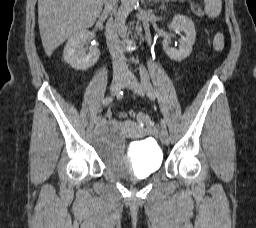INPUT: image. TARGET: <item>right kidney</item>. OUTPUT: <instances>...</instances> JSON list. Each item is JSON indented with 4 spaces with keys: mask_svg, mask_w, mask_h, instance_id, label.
Segmentation results:
<instances>
[{
    "mask_svg": "<svg viewBox=\"0 0 256 228\" xmlns=\"http://www.w3.org/2000/svg\"><path fill=\"white\" fill-rule=\"evenodd\" d=\"M89 37V31H80L68 39L64 48L63 58L65 62L76 70L89 69L100 57V51L97 48H90L88 53L83 49L84 42Z\"/></svg>",
    "mask_w": 256,
    "mask_h": 228,
    "instance_id": "1",
    "label": "right kidney"
}]
</instances>
